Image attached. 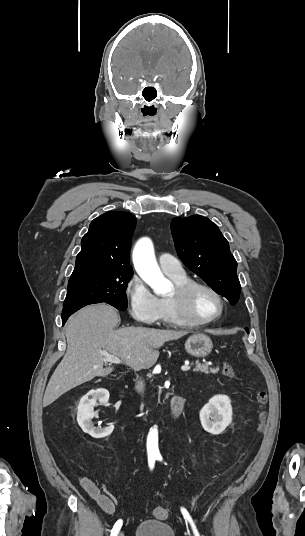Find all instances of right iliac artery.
Listing matches in <instances>:
<instances>
[{"instance_id":"1","label":"right iliac artery","mask_w":305,"mask_h":536,"mask_svg":"<svg viewBox=\"0 0 305 536\" xmlns=\"http://www.w3.org/2000/svg\"><path fill=\"white\" fill-rule=\"evenodd\" d=\"M155 460H156V457L154 455H151L149 458H148V463H149V467L150 469L152 470L154 468V465H155ZM123 521L121 519H119L115 525L113 526L112 530H111V534L110 536H117V534L119 533L120 529H121V526H122V523Z\"/></svg>"}]
</instances>
